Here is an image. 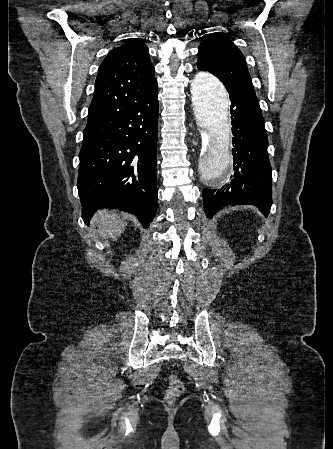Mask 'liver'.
<instances>
[{
	"label": "liver",
	"mask_w": 333,
	"mask_h": 449,
	"mask_svg": "<svg viewBox=\"0 0 333 449\" xmlns=\"http://www.w3.org/2000/svg\"><path fill=\"white\" fill-rule=\"evenodd\" d=\"M92 224L98 228L102 236L116 240L125 230L127 222L114 211L100 210L95 214Z\"/></svg>",
	"instance_id": "liver-1"
}]
</instances>
